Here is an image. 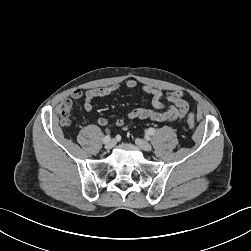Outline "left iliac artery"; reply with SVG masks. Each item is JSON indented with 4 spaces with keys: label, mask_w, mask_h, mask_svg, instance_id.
<instances>
[{
    "label": "left iliac artery",
    "mask_w": 251,
    "mask_h": 251,
    "mask_svg": "<svg viewBox=\"0 0 251 251\" xmlns=\"http://www.w3.org/2000/svg\"><path fill=\"white\" fill-rule=\"evenodd\" d=\"M154 133H155V129L154 128H149V129L146 130V134L148 136H152V135H154Z\"/></svg>",
    "instance_id": "1"
}]
</instances>
